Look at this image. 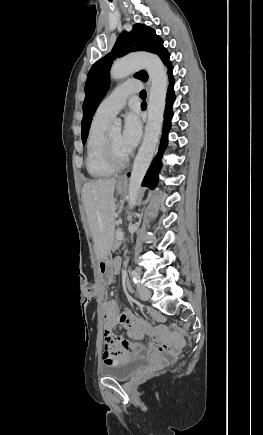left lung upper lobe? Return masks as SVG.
Masks as SVG:
<instances>
[{
    "instance_id": "1",
    "label": "left lung upper lobe",
    "mask_w": 263,
    "mask_h": 435,
    "mask_svg": "<svg viewBox=\"0 0 263 435\" xmlns=\"http://www.w3.org/2000/svg\"><path fill=\"white\" fill-rule=\"evenodd\" d=\"M134 51H148L157 54L163 63H169V54L163 46L162 39L155 31L143 24H135L130 32H122L111 53L98 60L90 69L85 84V100L83 103L82 141L85 144L93 115L109 88V71L113 59ZM135 78L147 81L145 71L134 75Z\"/></svg>"
}]
</instances>
